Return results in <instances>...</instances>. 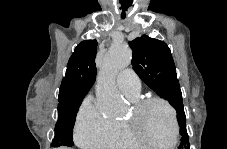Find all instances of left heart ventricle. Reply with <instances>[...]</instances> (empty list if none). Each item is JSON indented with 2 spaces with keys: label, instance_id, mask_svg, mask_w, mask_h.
Here are the masks:
<instances>
[{
  "label": "left heart ventricle",
  "instance_id": "obj_1",
  "mask_svg": "<svg viewBox=\"0 0 227 149\" xmlns=\"http://www.w3.org/2000/svg\"><path fill=\"white\" fill-rule=\"evenodd\" d=\"M139 128L155 143H170L173 137V122L168 109L159 103L149 105L140 116Z\"/></svg>",
  "mask_w": 227,
  "mask_h": 149
}]
</instances>
